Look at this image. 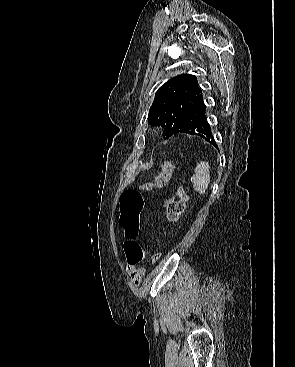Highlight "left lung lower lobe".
I'll return each mask as SVG.
<instances>
[{
  "label": "left lung lower lobe",
  "instance_id": "left-lung-lower-lobe-1",
  "mask_svg": "<svg viewBox=\"0 0 295 367\" xmlns=\"http://www.w3.org/2000/svg\"><path fill=\"white\" fill-rule=\"evenodd\" d=\"M181 133L200 136L218 148L211 126L207 121L203 95L200 96L196 104L187 112L183 120L173 131V135Z\"/></svg>",
  "mask_w": 295,
  "mask_h": 367
}]
</instances>
